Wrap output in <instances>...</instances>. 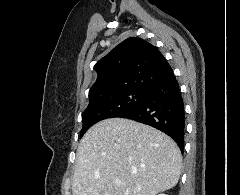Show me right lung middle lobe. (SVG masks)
I'll list each match as a JSON object with an SVG mask.
<instances>
[{
    "mask_svg": "<svg viewBox=\"0 0 240 195\" xmlns=\"http://www.w3.org/2000/svg\"><path fill=\"white\" fill-rule=\"evenodd\" d=\"M147 92L137 90H122L113 94L89 99V105L82 114L83 127L80 137L95 123L119 117L138 106Z\"/></svg>",
    "mask_w": 240,
    "mask_h": 195,
    "instance_id": "dd1d6c3e",
    "label": "right lung middle lobe"
}]
</instances>
